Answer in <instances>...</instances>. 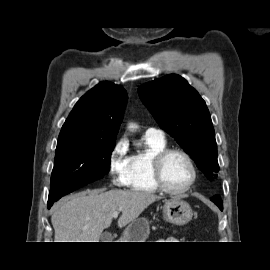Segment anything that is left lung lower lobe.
<instances>
[{
  "label": "left lung lower lobe",
  "instance_id": "left-lung-lower-lobe-1",
  "mask_svg": "<svg viewBox=\"0 0 270 270\" xmlns=\"http://www.w3.org/2000/svg\"><path fill=\"white\" fill-rule=\"evenodd\" d=\"M211 200L221 209L223 210V204L221 201V198L219 195L214 196L213 198H211Z\"/></svg>",
  "mask_w": 270,
  "mask_h": 270
}]
</instances>
